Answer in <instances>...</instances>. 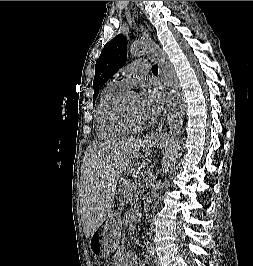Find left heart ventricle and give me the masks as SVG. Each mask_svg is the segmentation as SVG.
<instances>
[{"label": "left heart ventricle", "instance_id": "1", "mask_svg": "<svg viewBox=\"0 0 253 266\" xmlns=\"http://www.w3.org/2000/svg\"><path fill=\"white\" fill-rule=\"evenodd\" d=\"M126 110L133 120H142L143 114L139 104V95L132 92L126 101Z\"/></svg>", "mask_w": 253, "mask_h": 266}]
</instances>
